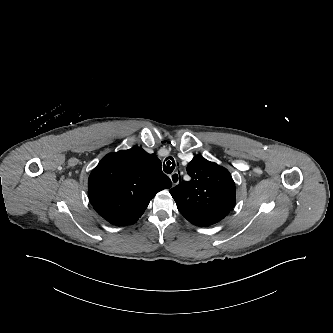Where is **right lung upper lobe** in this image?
<instances>
[{
	"label": "right lung upper lobe",
	"instance_id": "cb5924a9",
	"mask_svg": "<svg viewBox=\"0 0 333 333\" xmlns=\"http://www.w3.org/2000/svg\"><path fill=\"white\" fill-rule=\"evenodd\" d=\"M171 185L161 161L135 146L110 153L99 162L89 176L88 195L100 216L125 226L136 223L149 201Z\"/></svg>",
	"mask_w": 333,
	"mask_h": 333
}]
</instances>
